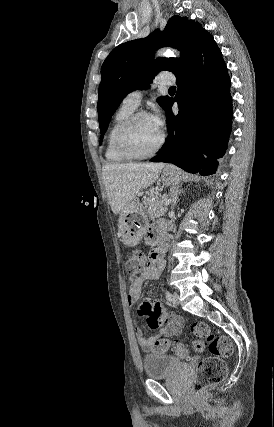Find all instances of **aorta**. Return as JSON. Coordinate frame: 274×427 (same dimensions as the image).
I'll return each mask as SVG.
<instances>
[{"instance_id":"aorta-1","label":"aorta","mask_w":274,"mask_h":427,"mask_svg":"<svg viewBox=\"0 0 274 427\" xmlns=\"http://www.w3.org/2000/svg\"><path fill=\"white\" fill-rule=\"evenodd\" d=\"M156 57H161V56H173V57H179L180 53L177 50H173V49H162L157 51Z\"/></svg>"}]
</instances>
